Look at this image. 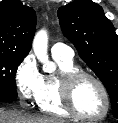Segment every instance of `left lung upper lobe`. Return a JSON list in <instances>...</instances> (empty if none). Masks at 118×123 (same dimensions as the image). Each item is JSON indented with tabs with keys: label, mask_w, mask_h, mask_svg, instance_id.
I'll return each instance as SVG.
<instances>
[{
	"label": "left lung upper lobe",
	"mask_w": 118,
	"mask_h": 123,
	"mask_svg": "<svg viewBox=\"0 0 118 123\" xmlns=\"http://www.w3.org/2000/svg\"><path fill=\"white\" fill-rule=\"evenodd\" d=\"M57 15L63 34L106 87L118 119V35L113 24L91 0H75Z\"/></svg>",
	"instance_id": "1"
}]
</instances>
